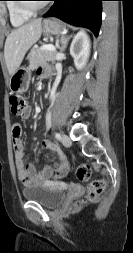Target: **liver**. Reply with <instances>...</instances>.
<instances>
[{
	"label": "liver",
	"instance_id": "6515ba94",
	"mask_svg": "<svg viewBox=\"0 0 133 253\" xmlns=\"http://www.w3.org/2000/svg\"><path fill=\"white\" fill-rule=\"evenodd\" d=\"M41 33L42 20L36 19L13 30L7 36L4 57L10 75L19 68L26 52L39 40Z\"/></svg>",
	"mask_w": 133,
	"mask_h": 253
}]
</instances>
